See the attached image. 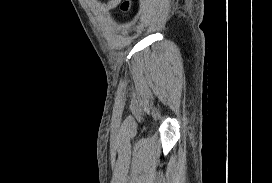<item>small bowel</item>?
I'll use <instances>...</instances> for the list:
<instances>
[{"label": "small bowel", "mask_w": 272, "mask_h": 183, "mask_svg": "<svg viewBox=\"0 0 272 183\" xmlns=\"http://www.w3.org/2000/svg\"><path fill=\"white\" fill-rule=\"evenodd\" d=\"M118 0H110L107 3L101 4V7L106 10H110L117 4Z\"/></svg>", "instance_id": "c3829d8e"}]
</instances>
